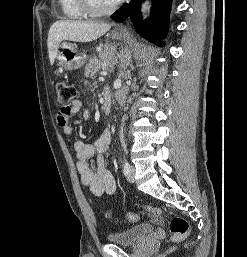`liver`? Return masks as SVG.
Returning <instances> with one entry per match:
<instances>
[{
  "label": "liver",
  "mask_w": 247,
  "mask_h": 257,
  "mask_svg": "<svg viewBox=\"0 0 247 257\" xmlns=\"http://www.w3.org/2000/svg\"><path fill=\"white\" fill-rule=\"evenodd\" d=\"M110 28L111 24L102 22L56 21L50 27L47 39L50 64H54L59 44L63 40L91 42L104 35Z\"/></svg>",
  "instance_id": "obj_1"
}]
</instances>
